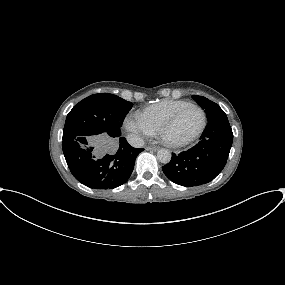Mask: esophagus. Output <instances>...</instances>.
Wrapping results in <instances>:
<instances>
[{"instance_id":"34e87169","label":"esophagus","mask_w":285,"mask_h":285,"mask_svg":"<svg viewBox=\"0 0 285 285\" xmlns=\"http://www.w3.org/2000/svg\"><path fill=\"white\" fill-rule=\"evenodd\" d=\"M146 150H149V151H156L158 148L157 147H154V146H148L145 148Z\"/></svg>"}]
</instances>
